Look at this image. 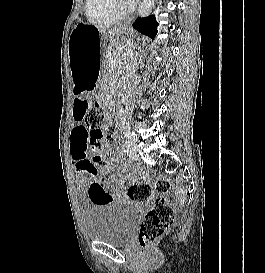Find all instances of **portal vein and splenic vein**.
Returning <instances> with one entry per match:
<instances>
[{"label": "portal vein and splenic vein", "mask_w": 265, "mask_h": 273, "mask_svg": "<svg viewBox=\"0 0 265 273\" xmlns=\"http://www.w3.org/2000/svg\"><path fill=\"white\" fill-rule=\"evenodd\" d=\"M127 55H128V56H132L133 54H132V52H130V53H128Z\"/></svg>", "instance_id": "1"}]
</instances>
